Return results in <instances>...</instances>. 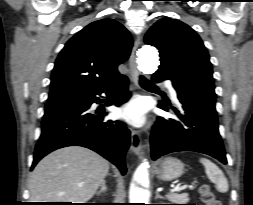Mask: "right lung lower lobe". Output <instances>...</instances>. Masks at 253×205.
<instances>
[{"label": "right lung lower lobe", "instance_id": "98d812e1", "mask_svg": "<svg viewBox=\"0 0 253 205\" xmlns=\"http://www.w3.org/2000/svg\"><path fill=\"white\" fill-rule=\"evenodd\" d=\"M128 78L122 76L108 86L59 101L48 102L42 121V132L35 148L32 169L48 153L67 146L89 148L116 165L125 174V154L130 146V131L119 121L103 122L107 112H90L92 103H99L96 95L110 96L107 105L117 106L128 101Z\"/></svg>", "mask_w": 253, "mask_h": 205}]
</instances>
